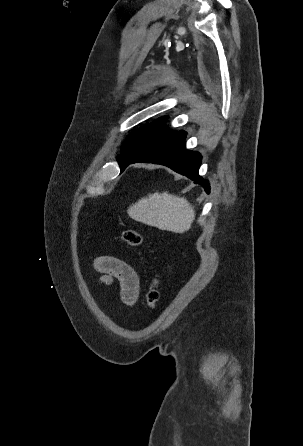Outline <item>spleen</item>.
I'll use <instances>...</instances> for the list:
<instances>
[{"mask_svg":"<svg viewBox=\"0 0 303 446\" xmlns=\"http://www.w3.org/2000/svg\"><path fill=\"white\" fill-rule=\"evenodd\" d=\"M135 221L161 230L183 233L191 228L195 219L194 208L184 198L163 192L141 198L127 210Z\"/></svg>","mask_w":303,"mask_h":446,"instance_id":"spleen-1","label":"spleen"}]
</instances>
